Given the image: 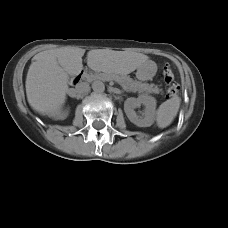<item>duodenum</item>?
<instances>
[{
  "instance_id": "duodenum-1",
  "label": "duodenum",
  "mask_w": 228,
  "mask_h": 228,
  "mask_svg": "<svg viewBox=\"0 0 228 228\" xmlns=\"http://www.w3.org/2000/svg\"><path fill=\"white\" fill-rule=\"evenodd\" d=\"M84 74H85V72L82 75L75 77L73 83L74 84L78 83L81 80V78L84 76Z\"/></svg>"
}]
</instances>
